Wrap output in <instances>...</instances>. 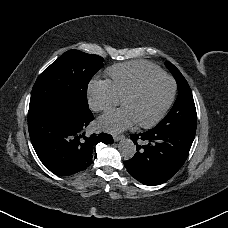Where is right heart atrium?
Returning <instances> with one entry per match:
<instances>
[{"mask_svg": "<svg viewBox=\"0 0 228 228\" xmlns=\"http://www.w3.org/2000/svg\"><path fill=\"white\" fill-rule=\"evenodd\" d=\"M88 101L93 110L106 111L119 102V96L110 81H93L88 88Z\"/></svg>", "mask_w": 228, "mask_h": 228, "instance_id": "obj_1", "label": "right heart atrium"}]
</instances>
